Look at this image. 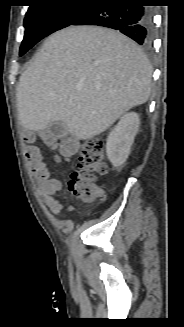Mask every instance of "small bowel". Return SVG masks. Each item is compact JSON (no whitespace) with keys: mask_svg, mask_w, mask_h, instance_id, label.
<instances>
[{"mask_svg":"<svg viewBox=\"0 0 184 327\" xmlns=\"http://www.w3.org/2000/svg\"><path fill=\"white\" fill-rule=\"evenodd\" d=\"M24 137L29 142L34 141L36 137L41 138L44 143L51 148L58 149L60 156L64 157L65 159L71 158L78 149V144L76 141L72 139H65L59 142L56 137L49 135L44 131H39L37 134H33L30 131H25ZM25 156L30 164L32 172L41 182V190L46 205L53 214L59 215L64 208V203L60 199L55 198V194L61 190V181L54 177L47 169L38 147H27Z\"/></svg>","mask_w":184,"mask_h":327,"instance_id":"obj_1","label":"small bowel"}]
</instances>
